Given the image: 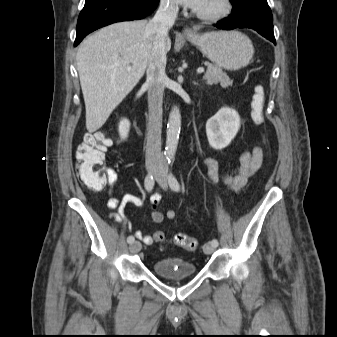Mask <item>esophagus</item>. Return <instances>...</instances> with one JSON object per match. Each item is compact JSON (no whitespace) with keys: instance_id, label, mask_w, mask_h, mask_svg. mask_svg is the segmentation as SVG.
Returning a JSON list of instances; mask_svg holds the SVG:
<instances>
[{"instance_id":"obj_1","label":"esophagus","mask_w":337,"mask_h":337,"mask_svg":"<svg viewBox=\"0 0 337 337\" xmlns=\"http://www.w3.org/2000/svg\"><path fill=\"white\" fill-rule=\"evenodd\" d=\"M183 33L185 35H192L193 31L189 27H186V28H184Z\"/></svg>"}]
</instances>
